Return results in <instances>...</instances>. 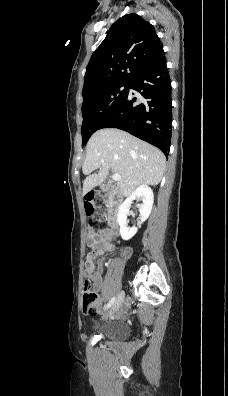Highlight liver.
<instances>
[{
  "label": "liver",
  "instance_id": "liver-1",
  "mask_svg": "<svg viewBox=\"0 0 228 396\" xmlns=\"http://www.w3.org/2000/svg\"><path fill=\"white\" fill-rule=\"evenodd\" d=\"M165 166L164 154L151 144L116 128L98 130L87 143L82 167L83 174L87 175L83 194L100 185L111 170L121 176L117 186L127 197L141 185L159 184ZM98 168V174H91Z\"/></svg>",
  "mask_w": 228,
  "mask_h": 396
}]
</instances>
